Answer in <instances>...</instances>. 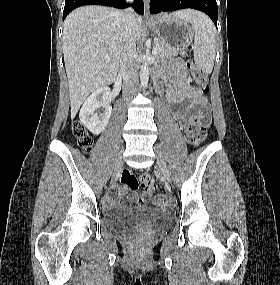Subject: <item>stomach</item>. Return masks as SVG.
<instances>
[{"instance_id":"stomach-1","label":"stomach","mask_w":280,"mask_h":285,"mask_svg":"<svg viewBox=\"0 0 280 285\" xmlns=\"http://www.w3.org/2000/svg\"><path fill=\"white\" fill-rule=\"evenodd\" d=\"M148 26L159 39L176 49H183L193 41V30L187 21L173 15L156 17Z\"/></svg>"}]
</instances>
